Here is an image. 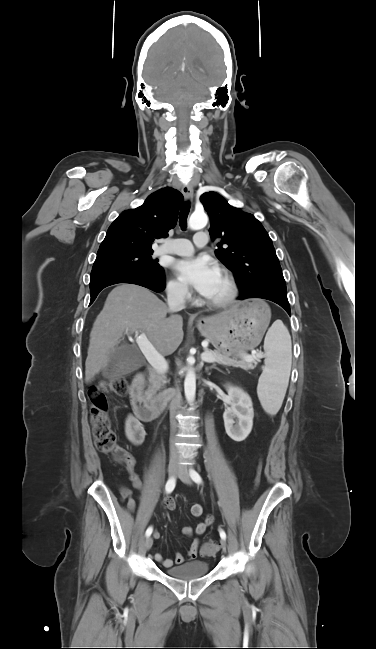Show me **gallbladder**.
I'll list each match as a JSON object with an SVG mask.
<instances>
[{
  "instance_id": "obj_1",
  "label": "gallbladder",
  "mask_w": 376,
  "mask_h": 649,
  "mask_svg": "<svg viewBox=\"0 0 376 649\" xmlns=\"http://www.w3.org/2000/svg\"><path fill=\"white\" fill-rule=\"evenodd\" d=\"M137 354L128 346H117L109 354L106 368L102 370V376L110 379L118 377L136 368Z\"/></svg>"
}]
</instances>
